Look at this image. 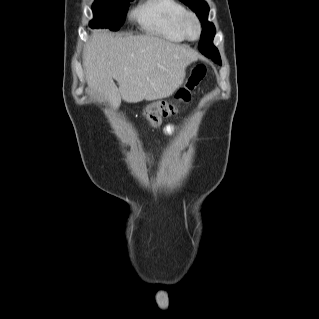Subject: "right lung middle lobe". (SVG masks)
I'll return each instance as SVG.
<instances>
[{
  "label": "right lung middle lobe",
  "mask_w": 319,
  "mask_h": 319,
  "mask_svg": "<svg viewBox=\"0 0 319 319\" xmlns=\"http://www.w3.org/2000/svg\"><path fill=\"white\" fill-rule=\"evenodd\" d=\"M132 0H96L92 5L94 18L90 21L91 28H109L117 31L123 24Z\"/></svg>",
  "instance_id": "dd1d6c3e"
}]
</instances>
